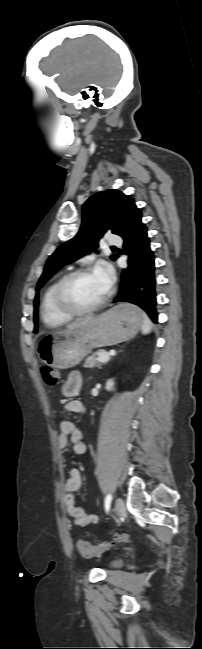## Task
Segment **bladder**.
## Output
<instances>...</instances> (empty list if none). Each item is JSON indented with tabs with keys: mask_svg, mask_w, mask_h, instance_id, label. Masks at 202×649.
I'll return each mask as SVG.
<instances>
[{
	"mask_svg": "<svg viewBox=\"0 0 202 649\" xmlns=\"http://www.w3.org/2000/svg\"><path fill=\"white\" fill-rule=\"evenodd\" d=\"M122 565L123 562L119 559H116L109 563V568L116 569V568H120Z\"/></svg>",
	"mask_w": 202,
	"mask_h": 649,
	"instance_id": "31cf9c89",
	"label": "bladder"
}]
</instances>
